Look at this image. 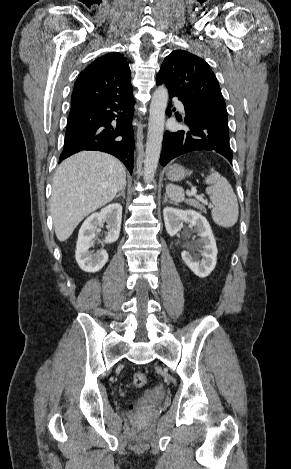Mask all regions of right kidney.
Masks as SVG:
<instances>
[{
  "mask_svg": "<svg viewBox=\"0 0 291 469\" xmlns=\"http://www.w3.org/2000/svg\"><path fill=\"white\" fill-rule=\"evenodd\" d=\"M122 219V206L118 203L110 204L99 213H93L82 224L76 244L75 258L79 267L85 271L94 273L103 268L108 261V254L105 250L97 253L89 251L93 246V239L96 237L97 227L103 221L107 222L108 234L105 243L117 241Z\"/></svg>",
  "mask_w": 291,
  "mask_h": 469,
  "instance_id": "right-kidney-1",
  "label": "right kidney"
}]
</instances>
